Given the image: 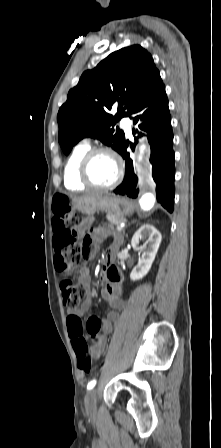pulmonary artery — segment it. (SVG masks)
Returning a JSON list of instances; mask_svg holds the SVG:
<instances>
[{
    "instance_id": "obj_1",
    "label": "pulmonary artery",
    "mask_w": 221,
    "mask_h": 448,
    "mask_svg": "<svg viewBox=\"0 0 221 448\" xmlns=\"http://www.w3.org/2000/svg\"><path fill=\"white\" fill-rule=\"evenodd\" d=\"M121 123H122V125H123V127L125 129L126 134L128 136H131V123L128 120V118L123 117L122 120H121Z\"/></svg>"
}]
</instances>
